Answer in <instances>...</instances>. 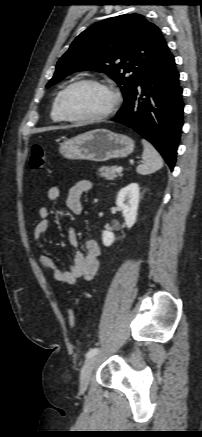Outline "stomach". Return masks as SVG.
<instances>
[{"instance_id":"stomach-1","label":"stomach","mask_w":202,"mask_h":437,"mask_svg":"<svg viewBox=\"0 0 202 437\" xmlns=\"http://www.w3.org/2000/svg\"><path fill=\"white\" fill-rule=\"evenodd\" d=\"M134 150V141L123 134L95 129L60 143L59 152L67 159L105 162L125 158Z\"/></svg>"}]
</instances>
